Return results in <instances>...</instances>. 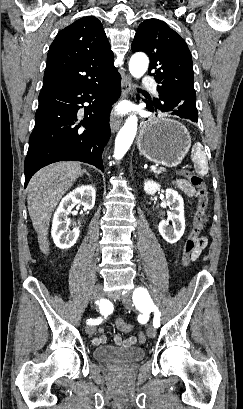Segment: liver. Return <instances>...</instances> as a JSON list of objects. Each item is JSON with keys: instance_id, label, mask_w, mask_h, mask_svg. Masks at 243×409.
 I'll return each mask as SVG.
<instances>
[{"instance_id": "liver-1", "label": "liver", "mask_w": 243, "mask_h": 409, "mask_svg": "<svg viewBox=\"0 0 243 409\" xmlns=\"http://www.w3.org/2000/svg\"><path fill=\"white\" fill-rule=\"evenodd\" d=\"M83 172L78 162H58L40 169L28 184V211L37 232L39 248L45 254L49 252L47 234L52 212Z\"/></svg>"}]
</instances>
